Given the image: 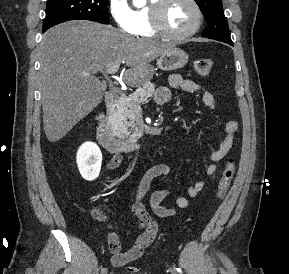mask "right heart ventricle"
<instances>
[{"label": "right heart ventricle", "instance_id": "right-heart-ventricle-1", "mask_svg": "<svg viewBox=\"0 0 289 274\" xmlns=\"http://www.w3.org/2000/svg\"><path fill=\"white\" fill-rule=\"evenodd\" d=\"M155 0H149L148 5L134 11V31L132 34L138 37L151 38L157 33L153 30L150 19V8Z\"/></svg>", "mask_w": 289, "mask_h": 274}]
</instances>
